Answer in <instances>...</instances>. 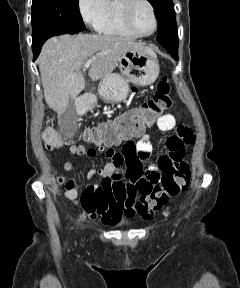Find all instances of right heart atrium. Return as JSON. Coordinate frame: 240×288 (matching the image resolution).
Instances as JSON below:
<instances>
[{"mask_svg":"<svg viewBox=\"0 0 240 288\" xmlns=\"http://www.w3.org/2000/svg\"><path fill=\"white\" fill-rule=\"evenodd\" d=\"M107 0H78V8L83 20L97 28L106 11Z\"/></svg>","mask_w":240,"mask_h":288,"instance_id":"1","label":"right heart atrium"}]
</instances>
